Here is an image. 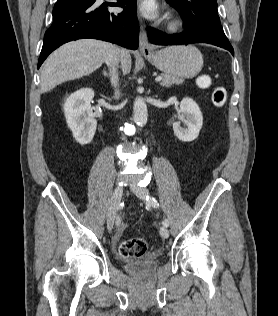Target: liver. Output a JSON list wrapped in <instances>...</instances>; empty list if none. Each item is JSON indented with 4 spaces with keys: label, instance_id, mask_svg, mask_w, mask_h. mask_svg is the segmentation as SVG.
Masks as SVG:
<instances>
[{
    "label": "liver",
    "instance_id": "1",
    "mask_svg": "<svg viewBox=\"0 0 278 316\" xmlns=\"http://www.w3.org/2000/svg\"><path fill=\"white\" fill-rule=\"evenodd\" d=\"M113 49L111 43L95 39H80L62 45L44 62L41 92H48L61 83L91 74L107 60ZM120 62L123 73L128 74L131 57L127 50H121Z\"/></svg>",
    "mask_w": 278,
    "mask_h": 316
}]
</instances>
